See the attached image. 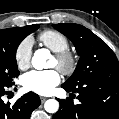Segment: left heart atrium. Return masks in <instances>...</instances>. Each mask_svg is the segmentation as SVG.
Wrapping results in <instances>:
<instances>
[{
	"label": "left heart atrium",
	"instance_id": "1",
	"mask_svg": "<svg viewBox=\"0 0 119 119\" xmlns=\"http://www.w3.org/2000/svg\"><path fill=\"white\" fill-rule=\"evenodd\" d=\"M60 80V73L56 69L33 70L24 75L22 83L26 90L38 94H49L59 84Z\"/></svg>",
	"mask_w": 119,
	"mask_h": 119
}]
</instances>
